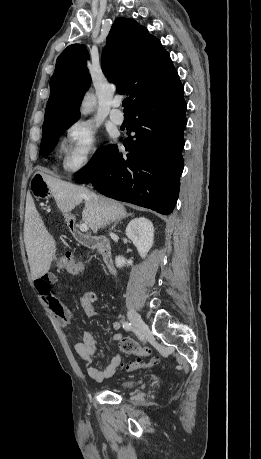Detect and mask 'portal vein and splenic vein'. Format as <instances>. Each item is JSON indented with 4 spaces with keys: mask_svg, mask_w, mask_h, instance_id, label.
Wrapping results in <instances>:
<instances>
[{
    "mask_svg": "<svg viewBox=\"0 0 261 459\" xmlns=\"http://www.w3.org/2000/svg\"><path fill=\"white\" fill-rule=\"evenodd\" d=\"M79 229L82 232H86L89 229V226L87 224H85V223H82V224H80Z\"/></svg>",
    "mask_w": 261,
    "mask_h": 459,
    "instance_id": "portal-vein-and-splenic-vein-1",
    "label": "portal vein and splenic vein"
}]
</instances>
